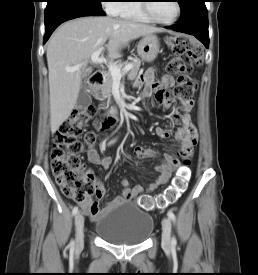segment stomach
Segmentation results:
<instances>
[{
	"label": "stomach",
	"instance_id": "1",
	"mask_svg": "<svg viewBox=\"0 0 258 275\" xmlns=\"http://www.w3.org/2000/svg\"><path fill=\"white\" fill-rule=\"evenodd\" d=\"M160 51V42L156 35L143 36L137 45V53L145 62H153Z\"/></svg>",
	"mask_w": 258,
	"mask_h": 275
}]
</instances>
